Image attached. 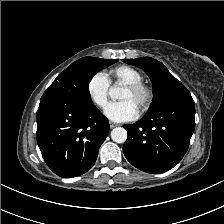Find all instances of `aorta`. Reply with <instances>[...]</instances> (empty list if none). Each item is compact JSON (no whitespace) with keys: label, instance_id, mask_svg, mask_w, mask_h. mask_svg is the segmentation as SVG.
Returning a JSON list of instances; mask_svg holds the SVG:
<instances>
[{"label":"aorta","instance_id":"762f6f07","mask_svg":"<svg viewBox=\"0 0 224 224\" xmlns=\"http://www.w3.org/2000/svg\"><path fill=\"white\" fill-rule=\"evenodd\" d=\"M109 96L112 99H119L121 96V88L112 86L109 89ZM111 139L116 143H124L127 139V131L123 127H116L111 131Z\"/></svg>","mask_w":224,"mask_h":224}]
</instances>
